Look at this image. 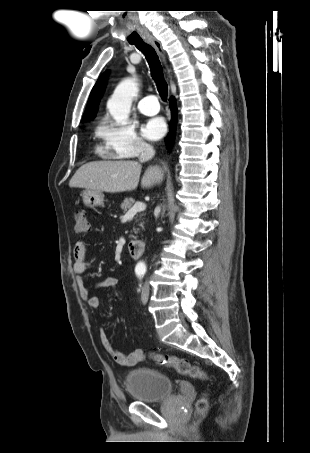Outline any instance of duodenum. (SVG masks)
<instances>
[{
  "label": "duodenum",
  "mask_w": 310,
  "mask_h": 453,
  "mask_svg": "<svg viewBox=\"0 0 310 453\" xmlns=\"http://www.w3.org/2000/svg\"><path fill=\"white\" fill-rule=\"evenodd\" d=\"M128 251L134 259L140 258L145 251V242L142 240H132L128 244Z\"/></svg>",
  "instance_id": "410a0bca"
}]
</instances>
